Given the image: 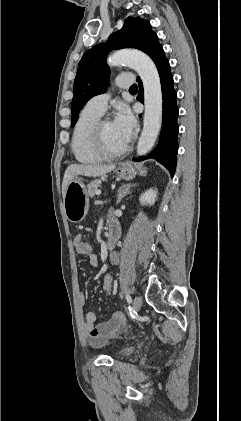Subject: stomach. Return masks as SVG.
<instances>
[{"instance_id":"1","label":"stomach","mask_w":241,"mask_h":421,"mask_svg":"<svg viewBox=\"0 0 241 421\" xmlns=\"http://www.w3.org/2000/svg\"><path fill=\"white\" fill-rule=\"evenodd\" d=\"M118 177L124 180H132L137 174L145 176L147 170L141 166H134L130 163H122L116 169ZM89 209L88 193L82 178L75 177L67 186L64 196V210L70 222L82 221Z\"/></svg>"}]
</instances>
